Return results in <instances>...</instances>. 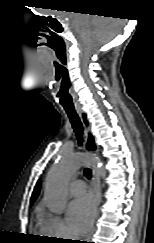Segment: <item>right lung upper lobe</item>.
<instances>
[{
    "label": "right lung upper lobe",
    "instance_id": "cb5924a9",
    "mask_svg": "<svg viewBox=\"0 0 154 243\" xmlns=\"http://www.w3.org/2000/svg\"><path fill=\"white\" fill-rule=\"evenodd\" d=\"M40 191V181L37 182L31 197V203H33L39 195Z\"/></svg>",
    "mask_w": 154,
    "mask_h": 243
}]
</instances>
